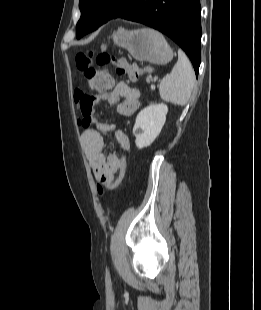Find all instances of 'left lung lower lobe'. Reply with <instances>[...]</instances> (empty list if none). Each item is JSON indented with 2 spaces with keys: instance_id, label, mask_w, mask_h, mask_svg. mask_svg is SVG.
Masks as SVG:
<instances>
[{
  "instance_id": "1",
  "label": "left lung lower lobe",
  "mask_w": 261,
  "mask_h": 310,
  "mask_svg": "<svg viewBox=\"0 0 261 310\" xmlns=\"http://www.w3.org/2000/svg\"><path fill=\"white\" fill-rule=\"evenodd\" d=\"M200 17V0H133L128 11L120 16L169 36L189 56L196 75L201 60ZM101 25L93 24L88 30L92 32Z\"/></svg>"
}]
</instances>
